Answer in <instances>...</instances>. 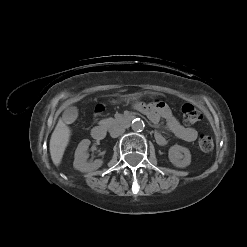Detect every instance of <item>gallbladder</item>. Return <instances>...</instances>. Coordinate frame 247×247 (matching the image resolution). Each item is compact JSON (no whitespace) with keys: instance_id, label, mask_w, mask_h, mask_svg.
Here are the masks:
<instances>
[{"instance_id":"bac80fb5","label":"gallbladder","mask_w":247,"mask_h":247,"mask_svg":"<svg viewBox=\"0 0 247 247\" xmlns=\"http://www.w3.org/2000/svg\"><path fill=\"white\" fill-rule=\"evenodd\" d=\"M78 116V110L76 107H69L63 113V121L65 123H72Z\"/></svg>"}]
</instances>
